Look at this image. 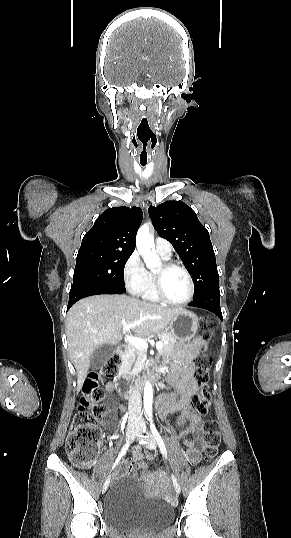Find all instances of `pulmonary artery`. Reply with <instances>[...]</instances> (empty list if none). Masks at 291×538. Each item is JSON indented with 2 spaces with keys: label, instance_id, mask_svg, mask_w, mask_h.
I'll use <instances>...</instances> for the list:
<instances>
[{
  "label": "pulmonary artery",
  "instance_id": "pulmonary-artery-1",
  "mask_svg": "<svg viewBox=\"0 0 291 538\" xmlns=\"http://www.w3.org/2000/svg\"><path fill=\"white\" fill-rule=\"evenodd\" d=\"M154 246H155L156 251L159 254L163 255L164 257L169 258V257L172 256L173 248H172L171 244L167 240L158 237L155 240Z\"/></svg>",
  "mask_w": 291,
  "mask_h": 538
}]
</instances>
